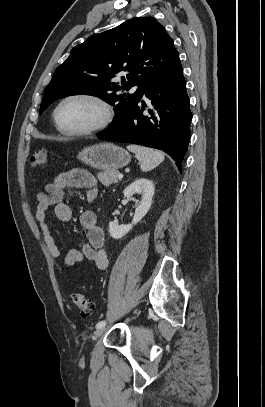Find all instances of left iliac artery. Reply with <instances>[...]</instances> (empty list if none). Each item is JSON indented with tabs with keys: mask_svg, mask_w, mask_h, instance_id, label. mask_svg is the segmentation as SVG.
<instances>
[{
	"mask_svg": "<svg viewBox=\"0 0 265 407\" xmlns=\"http://www.w3.org/2000/svg\"><path fill=\"white\" fill-rule=\"evenodd\" d=\"M105 324H106V322H105L104 320L99 321V322L96 324V328L98 329V328L104 327Z\"/></svg>",
	"mask_w": 265,
	"mask_h": 407,
	"instance_id": "44dca946",
	"label": "left iliac artery"
}]
</instances>
